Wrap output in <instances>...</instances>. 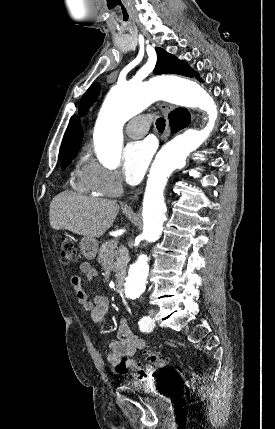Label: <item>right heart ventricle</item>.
Listing matches in <instances>:
<instances>
[{
	"label": "right heart ventricle",
	"mask_w": 275,
	"mask_h": 429,
	"mask_svg": "<svg viewBox=\"0 0 275 429\" xmlns=\"http://www.w3.org/2000/svg\"><path fill=\"white\" fill-rule=\"evenodd\" d=\"M77 186L81 191L101 195L91 185L87 176V164L78 171L77 175Z\"/></svg>",
	"instance_id": "1"
}]
</instances>
